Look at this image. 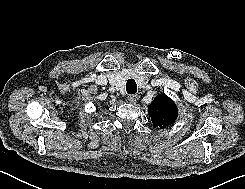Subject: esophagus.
I'll return each mask as SVG.
<instances>
[{"label":"esophagus","instance_id":"1","mask_svg":"<svg viewBox=\"0 0 245 189\" xmlns=\"http://www.w3.org/2000/svg\"><path fill=\"white\" fill-rule=\"evenodd\" d=\"M139 100V96L138 95H129L128 96V101L130 103H136Z\"/></svg>","mask_w":245,"mask_h":189}]
</instances>
